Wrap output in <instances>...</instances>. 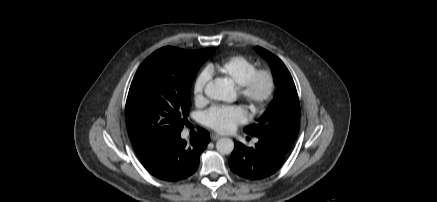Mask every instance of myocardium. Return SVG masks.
Segmentation results:
<instances>
[{"label": "myocardium", "mask_w": 437, "mask_h": 202, "mask_svg": "<svg viewBox=\"0 0 437 202\" xmlns=\"http://www.w3.org/2000/svg\"><path fill=\"white\" fill-rule=\"evenodd\" d=\"M264 83L259 91L258 84ZM276 87L275 76L269 69H256L239 85V94L253 112L260 111L272 98Z\"/></svg>", "instance_id": "f54148a6"}]
</instances>
